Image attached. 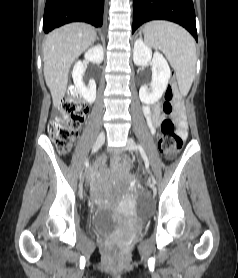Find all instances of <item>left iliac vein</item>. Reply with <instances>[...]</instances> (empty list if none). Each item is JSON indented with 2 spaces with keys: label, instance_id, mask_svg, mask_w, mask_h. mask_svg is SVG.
Listing matches in <instances>:
<instances>
[{
  "label": "left iliac vein",
  "instance_id": "1",
  "mask_svg": "<svg viewBox=\"0 0 238 278\" xmlns=\"http://www.w3.org/2000/svg\"><path fill=\"white\" fill-rule=\"evenodd\" d=\"M126 147L129 151H136L137 150V146H136L134 140L130 137L127 139ZM155 184H156V180H155L154 177H152V179L149 183L152 190H156Z\"/></svg>",
  "mask_w": 238,
  "mask_h": 278
}]
</instances>
